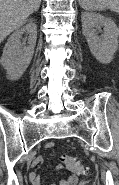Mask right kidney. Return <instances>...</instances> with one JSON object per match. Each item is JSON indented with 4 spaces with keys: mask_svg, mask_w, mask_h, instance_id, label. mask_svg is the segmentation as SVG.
Here are the masks:
<instances>
[{
    "mask_svg": "<svg viewBox=\"0 0 119 185\" xmlns=\"http://www.w3.org/2000/svg\"><path fill=\"white\" fill-rule=\"evenodd\" d=\"M23 34H29L27 46L21 42ZM36 39L37 26L32 21L16 30L8 39L0 63L7 71L10 80L19 79L26 71L34 54Z\"/></svg>",
    "mask_w": 119,
    "mask_h": 185,
    "instance_id": "obj_1",
    "label": "right kidney"
}]
</instances>
